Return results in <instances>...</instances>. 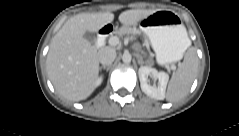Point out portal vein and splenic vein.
<instances>
[{
    "mask_svg": "<svg viewBox=\"0 0 239 136\" xmlns=\"http://www.w3.org/2000/svg\"><path fill=\"white\" fill-rule=\"evenodd\" d=\"M119 42H120V40H119V38H118L117 36H112V37H110L109 40H108V43H109V45H111V46H116V45L119 44ZM172 69H173V68H172Z\"/></svg>",
    "mask_w": 239,
    "mask_h": 136,
    "instance_id": "18ae733b",
    "label": "portal vein and splenic vein"
}]
</instances>
